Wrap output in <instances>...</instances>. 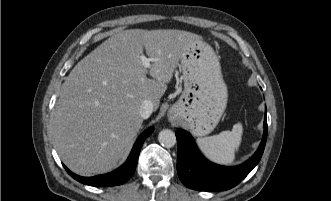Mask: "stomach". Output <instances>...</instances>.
I'll return each instance as SVG.
<instances>
[{"label": "stomach", "instance_id": "stomach-1", "mask_svg": "<svg viewBox=\"0 0 331 201\" xmlns=\"http://www.w3.org/2000/svg\"><path fill=\"white\" fill-rule=\"evenodd\" d=\"M180 61L184 90L171 108L170 118L184 124L194 136L208 135L227 106L228 91L219 59L209 44L195 40Z\"/></svg>", "mask_w": 331, "mask_h": 201}]
</instances>
